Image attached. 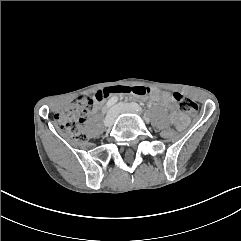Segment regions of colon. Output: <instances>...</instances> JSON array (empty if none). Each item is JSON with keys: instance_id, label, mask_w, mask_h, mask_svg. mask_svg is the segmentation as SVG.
Segmentation results:
<instances>
[{"instance_id": "1", "label": "colon", "mask_w": 241, "mask_h": 241, "mask_svg": "<svg viewBox=\"0 0 241 241\" xmlns=\"http://www.w3.org/2000/svg\"><path fill=\"white\" fill-rule=\"evenodd\" d=\"M150 89L145 86H116L99 90L93 95H83L72 102L69 107L55 114V120L60 128L77 140H83L85 135L82 129L84 115L88 108L95 102L102 101L113 94H132L136 96H145ZM174 100L178 103L182 112L188 116L195 117L198 114V105L181 93L173 94ZM159 136L164 139L175 138L177 131L175 129H161Z\"/></svg>"}]
</instances>
